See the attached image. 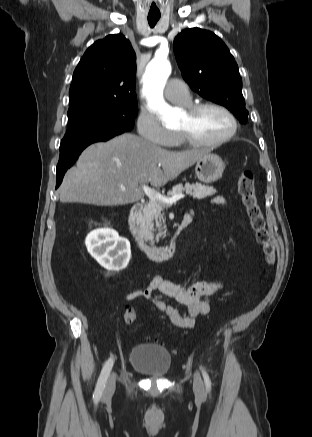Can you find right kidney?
<instances>
[{"instance_id": "obj_1", "label": "right kidney", "mask_w": 312, "mask_h": 437, "mask_svg": "<svg viewBox=\"0 0 312 437\" xmlns=\"http://www.w3.org/2000/svg\"><path fill=\"white\" fill-rule=\"evenodd\" d=\"M85 244L90 255L109 271L124 269L130 261V242L113 229L92 231L86 237Z\"/></svg>"}]
</instances>
